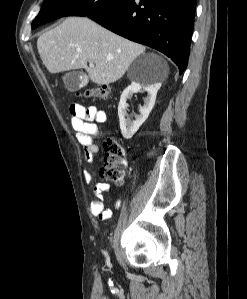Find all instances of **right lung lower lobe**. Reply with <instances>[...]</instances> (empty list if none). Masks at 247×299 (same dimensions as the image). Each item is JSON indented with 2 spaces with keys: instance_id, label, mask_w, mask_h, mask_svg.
Instances as JSON below:
<instances>
[{
  "instance_id": "98d812e1",
  "label": "right lung lower lobe",
  "mask_w": 247,
  "mask_h": 299,
  "mask_svg": "<svg viewBox=\"0 0 247 299\" xmlns=\"http://www.w3.org/2000/svg\"><path fill=\"white\" fill-rule=\"evenodd\" d=\"M197 0H124L89 18L112 32L152 47L185 71Z\"/></svg>"
}]
</instances>
